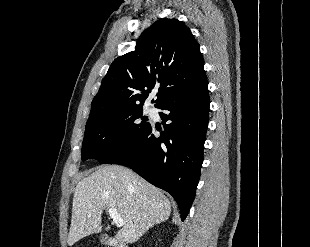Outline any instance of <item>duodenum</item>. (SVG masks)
<instances>
[{
    "instance_id": "duodenum-1",
    "label": "duodenum",
    "mask_w": 310,
    "mask_h": 247,
    "mask_svg": "<svg viewBox=\"0 0 310 247\" xmlns=\"http://www.w3.org/2000/svg\"><path fill=\"white\" fill-rule=\"evenodd\" d=\"M106 242L111 247H127L125 244H123L122 242H120V241H118V240H116L115 238H112V237H107L106 238Z\"/></svg>"
}]
</instances>
